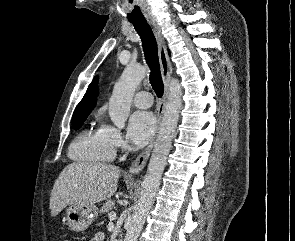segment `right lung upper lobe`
I'll return each instance as SVG.
<instances>
[{"label": "right lung upper lobe", "instance_id": "cb5924a9", "mask_svg": "<svg viewBox=\"0 0 295 241\" xmlns=\"http://www.w3.org/2000/svg\"><path fill=\"white\" fill-rule=\"evenodd\" d=\"M98 82V77H95L92 83L89 85L84 97L77 105L73 116L81 114H89L94 108L98 95V88L96 87Z\"/></svg>", "mask_w": 295, "mask_h": 241}]
</instances>
